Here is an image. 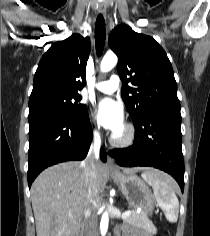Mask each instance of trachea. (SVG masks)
<instances>
[{"label":"trachea","mask_w":210,"mask_h":236,"mask_svg":"<svg viewBox=\"0 0 210 236\" xmlns=\"http://www.w3.org/2000/svg\"><path fill=\"white\" fill-rule=\"evenodd\" d=\"M105 38H106L105 21L102 14H99L95 24V44L98 56H101L104 50Z\"/></svg>","instance_id":"obj_1"}]
</instances>
